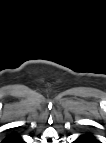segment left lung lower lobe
Segmentation results:
<instances>
[{
	"instance_id": "obj_1",
	"label": "left lung lower lobe",
	"mask_w": 106,
	"mask_h": 143,
	"mask_svg": "<svg viewBox=\"0 0 106 143\" xmlns=\"http://www.w3.org/2000/svg\"><path fill=\"white\" fill-rule=\"evenodd\" d=\"M76 142H78V143H91V142L89 141V139H87V138L84 137V136H81L80 138H78V139L76 140Z\"/></svg>"
}]
</instances>
